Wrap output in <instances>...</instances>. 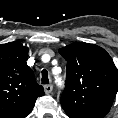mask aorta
Masks as SVG:
<instances>
[{
  "mask_svg": "<svg viewBox=\"0 0 118 118\" xmlns=\"http://www.w3.org/2000/svg\"><path fill=\"white\" fill-rule=\"evenodd\" d=\"M56 82L61 83V79H59V78L56 79Z\"/></svg>",
  "mask_w": 118,
  "mask_h": 118,
  "instance_id": "aorta-1",
  "label": "aorta"
}]
</instances>
